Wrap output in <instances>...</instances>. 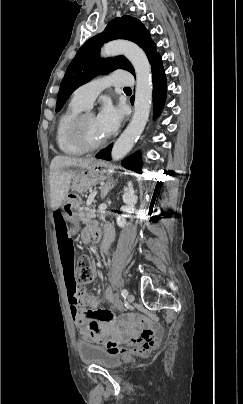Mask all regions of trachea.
Returning <instances> with one entry per match:
<instances>
[{
    "instance_id": "obj_1",
    "label": "trachea",
    "mask_w": 243,
    "mask_h": 404,
    "mask_svg": "<svg viewBox=\"0 0 243 404\" xmlns=\"http://www.w3.org/2000/svg\"><path fill=\"white\" fill-rule=\"evenodd\" d=\"M124 90H129V91H131L130 87H125Z\"/></svg>"
}]
</instances>
